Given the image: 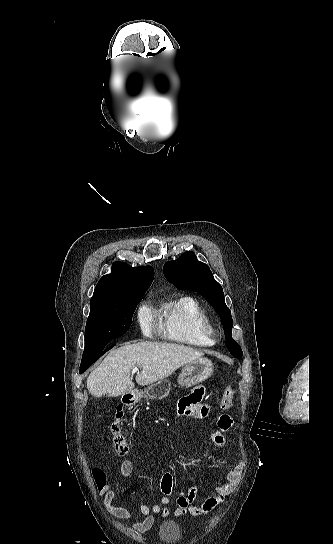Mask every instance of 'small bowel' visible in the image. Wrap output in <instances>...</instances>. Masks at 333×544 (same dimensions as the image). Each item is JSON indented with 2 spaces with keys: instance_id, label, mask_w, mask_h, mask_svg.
Returning a JSON list of instances; mask_svg holds the SVG:
<instances>
[{
  "instance_id": "1",
  "label": "small bowel",
  "mask_w": 333,
  "mask_h": 544,
  "mask_svg": "<svg viewBox=\"0 0 333 544\" xmlns=\"http://www.w3.org/2000/svg\"><path fill=\"white\" fill-rule=\"evenodd\" d=\"M206 388L199 386L195 388L189 395L182 397L177 404V412L180 416L188 419H202L210 414L211 406L205 399ZM232 426V419L229 415L223 414L217 421V429L210 432V438L218 447H225L227 444L224 435ZM133 471V463L126 459L120 465V475L128 477ZM243 471V464L240 463L235 468L230 470L223 481H221L214 489L213 494L206 497L200 502H197L198 489L196 486L190 487L187 490L179 492L176 499V506L171 507V494L173 493V479L170 473H164L160 488L163 497L160 504L148 506L141 504L139 514L130 511L129 509L117 506L113 503L115 499L114 489L104 484L99 489V494L103 498L104 506L107 512L115 518L135 520L132 524L133 529L138 532L148 531L154 524V516L162 514L168 516H180L189 514L192 516H201L210 513L216 506L223 502L224 498L230 494L240 481Z\"/></svg>"
}]
</instances>
